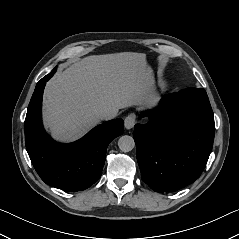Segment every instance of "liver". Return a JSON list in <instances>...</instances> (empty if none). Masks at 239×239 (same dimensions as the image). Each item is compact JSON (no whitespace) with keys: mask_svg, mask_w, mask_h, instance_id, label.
<instances>
[{"mask_svg":"<svg viewBox=\"0 0 239 239\" xmlns=\"http://www.w3.org/2000/svg\"><path fill=\"white\" fill-rule=\"evenodd\" d=\"M150 77L145 54L88 56L47 83L44 123L56 139L76 140L100 122L102 112L149 104Z\"/></svg>","mask_w":239,"mask_h":239,"instance_id":"obj_1","label":"liver"}]
</instances>
